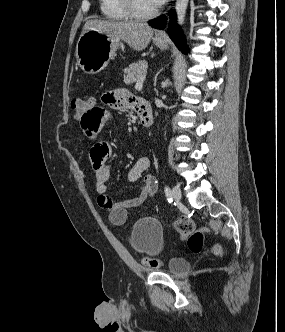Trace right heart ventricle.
<instances>
[{"label":"right heart ventricle","instance_id":"e07e8e85","mask_svg":"<svg viewBox=\"0 0 285 332\" xmlns=\"http://www.w3.org/2000/svg\"><path fill=\"white\" fill-rule=\"evenodd\" d=\"M102 15L112 21H127L131 17L124 9L121 0H99Z\"/></svg>","mask_w":285,"mask_h":332}]
</instances>
